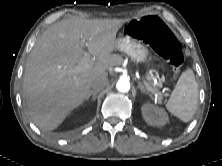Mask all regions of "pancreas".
<instances>
[{"mask_svg":"<svg viewBox=\"0 0 222 166\" xmlns=\"http://www.w3.org/2000/svg\"><path fill=\"white\" fill-rule=\"evenodd\" d=\"M151 78H152V75H148V76H147V79H148V80H151ZM149 85H150V84H149ZM159 86H160V84H159ZM150 87H151V86H150ZM150 92L155 94V93L159 92V90H158V88H156V87H151V88H150Z\"/></svg>","mask_w":222,"mask_h":166,"instance_id":"cf45deb5","label":"pancreas"}]
</instances>
